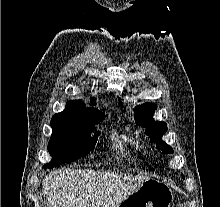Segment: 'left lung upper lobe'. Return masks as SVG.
I'll return each instance as SVG.
<instances>
[{
	"mask_svg": "<svg viewBox=\"0 0 220 207\" xmlns=\"http://www.w3.org/2000/svg\"><path fill=\"white\" fill-rule=\"evenodd\" d=\"M154 109L155 105L151 103H145L136 107V124L146 128V134L149 135L150 141L156 144L157 149L162 150L164 153H173L172 147L161 139V136L167 130V125L165 122L154 121L152 115Z\"/></svg>",
	"mask_w": 220,
	"mask_h": 207,
	"instance_id": "obj_1",
	"label": "left lung upper lobe"
}]
</instances>
